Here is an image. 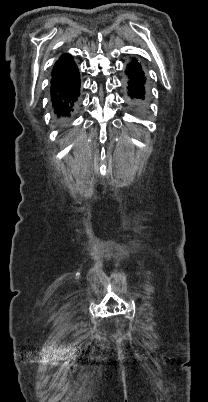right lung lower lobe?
Wrapping results in <instances>:
<instances>
[{
    "mask_svg": "<svg viewBox=\"0 0 208 402\" xmlns=\"http://www.w3.org/2000/svg\"><path fill=\"white\" fill-rule=\"evenodd\" d=\"M80 74L69 54H63L52 70L50 97L58 121L68 119L74 112L80 95Z\"/></svg>",
    "mask_w": 208,
    "mask_h": 402,
    "instance_id": "1",
    "label": "right lung lower lobe"
}]
</instances>
